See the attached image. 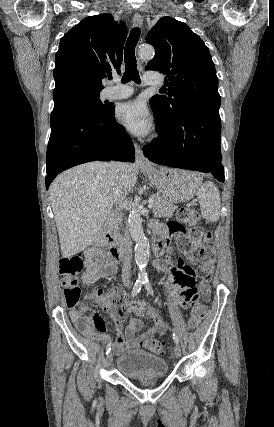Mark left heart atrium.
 <instances>
[{
	"mask_svg": "<svg viewBox=\"0 0 274 427\" xmlns=\"http://www.w3.org/2000/svg\"><path fill=\"white\" fill-rule=\"evenodd\" d=\"M116 117L135 135L146 134L151 128L149 112L140 101L120 104L116 109Z\"/></svg>",
	"mask_w": 274,
	"mask_h": 427,
	"instance_id": "39dd6f15",
	"label": "left heart atrium"
}]
</instances>
